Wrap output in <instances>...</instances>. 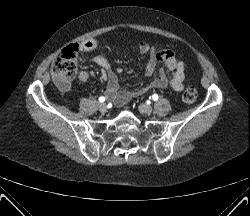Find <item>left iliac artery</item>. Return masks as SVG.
I'll return each instance as SVG.
<instances>
[{"mask_svg":"<svg viewBox=\"0 0 250 216\" xmlns=\"http://www.w3.org/2000/svg\"><path fill=\"white\" fill-rule=\"evenodd\" d=\"M152 99H153L154 101L158 100V95H157V94H153V95H152Z\"/></svg>","mask_w":250,"mask_h":216,"instance_id":"left-iliac-artery-1","label":"left iliac artery"}]
</instances>
